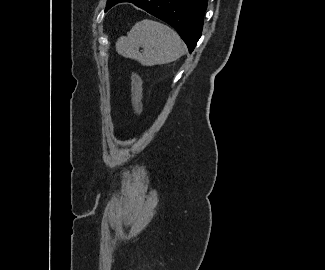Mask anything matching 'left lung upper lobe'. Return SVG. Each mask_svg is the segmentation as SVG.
<instances>
[{"instance_id": "5c2ea615", "label": "left lung upper lobe", "mask_w": 325, "mask_h": 270, "mask_svg": "<svg viewBox=\"0 0 325 270\" xmlns=\"http://www.w3.org/2000/svg\"><path fill=\"white\" fill-rule=\"evenodd\" d=\"M119 0H107L106 11L114 6Z\"/></svg>"}]
</instances>
